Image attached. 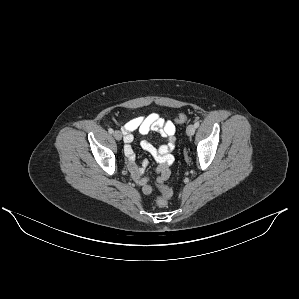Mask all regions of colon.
I'll list each match as a JSON object with an SVG mask.
<instances>
[{"label":"colon","mask_w":299,"mask_h":299,"mask_svg":"<svg viewBox=\"0 0 299 299\" xmlns=\"http://www.w3.org/2000/svg\"><path fill=\"white\" fill-rule=\"evenodd\" d=\"M187 120L186 114H180L176 118L177 123H184ZM161 193L162 195L157 199V205L161 208H164L168 204V199L172 196L173 191L172 189L167 185L161 186Z\"/></svg>","instance_id":"obj_1"}]
</instances>
